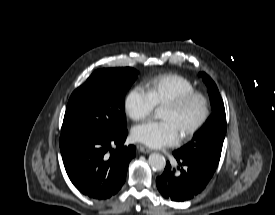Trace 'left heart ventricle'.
<instances>
[{"instance_id":"b2bd125f","label":"left heart ventricle","mask_w":275,"mask_h":215,"mask_svg":"<svg viewBox=\"0 0 275 215\" xmlns=\"http://www.w3.org/2000/svg\"><path fill=\"white\" fill-rule=\"evenodd\" d=\"M202 112V101L200 99H194L181 110L163 107L161 118L163 120L172 121L182 135L200 119Z\"/></svg>"}]
</instances>
